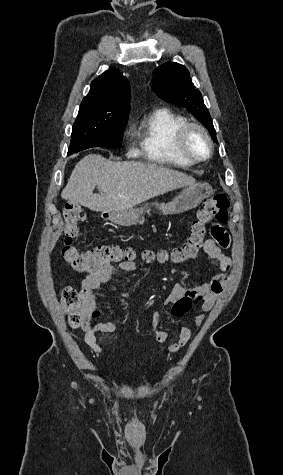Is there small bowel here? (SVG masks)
I'll use <instances>...</instances> for the list:
<instances>
[{
    "label": "small bowel",
    "instance_id": "obj_1",
    "mask_svg": "<svg viewBox=\"0 0 283 475\" xmlns=\"http://www.w3.org/2000/svg\"><path fill=\"white\" fill-rule=\"evenodd\" d=\"M205 230L208 233L209 239L204 244V251L221 272L215 274L210 272V279L200 284H175L164 299V304L173 305L178 297V293H195L196 304H199L201 308V312H196L194 315V323L197 328L202 326L205 321L204 313L209 312L213 308L227 283L226 272L231 268V259L223 253L221 247L232 248L234 245L233 240L228 238L231 236L232 231L228 224L224 223L223 219H214L213 223H207ZM135 268L136 266L133 262L107 263L92 271L82 283L80 290L81 328L85 333V343L96 354L102 352V348L97 341V335L113 334L116 331V326L113 322L95 320L98 314L96 292L100 290L104 283L110 281L114 275L122 272H132ZM121 296L124 300L129 298L127 292H122ZM118 311L123 312V309L118 308ZM172 313L174 316H181L176 315L174 309ZM149 318L154 329L156 342L163 344L168 338V332L161 326L159 313L152 311L149 313ZM191 336V328L186 324H182L180 326L178 342L170 346L168 351L171 353L177 352L189 342Z\"/></svg>",
    "mask_w": 283,
    "mask_h": 475
}]
</instances>
